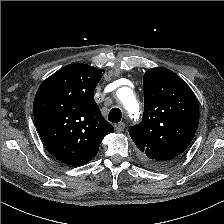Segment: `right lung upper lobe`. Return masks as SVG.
<instances>
[{
	"label": "right lung upper lobe",
	"instance_id": "1",
	"mask_svg": "<svg viewBox=\"0 0 224 224\" xmlns=\"http://www.w3.org/2000/svg\"><path fill=\"white\" fill-rule=\"evenodd\" d=\"M102 72L84 63L69 64L37 90L33 104L36 128L48 151L65 164L88 163L103 138L114 131L94 101Z\"/></svg>",
	"mask_w": 224,
	"mask_h": 224
}]
</instances>
